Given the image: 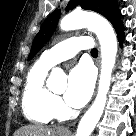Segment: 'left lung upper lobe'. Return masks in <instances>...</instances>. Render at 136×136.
Wrapping results in <instances>:
<instances>
[{
    "instance_id": "5c2ea615",
    "label": "left lung upper lobe",
    "mask_w": 136,
    "mask_h": 136,
    "mask_svg": "<svg viewBox=\"0 0 136 136\" xmlns=\"http://www.w3.org/2000/svg\"><path fill=\"white\" fill-rule=\"evenodd\" d=\"M78 5H81L83 9L92 10L105 16L114 26V28L121 22V14L116 0H70L66 7V11L72 10ZM59 18L60 10H56L45 19L41 25L40 31L33 41L28 60L34 57L52 36Z\"/></svg>"
}]
</instances>
